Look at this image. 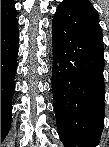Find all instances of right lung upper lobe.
Instances as JSON below:
<instances>
[{
	"instance_id": "cb5924a9",
	"label": "right lung upper lobe",
	"mask_w": 109,
	"mask_h": 147,
	"mask_svg": "<svg viewBox=\"0 0 109 147\" xmlns=\"http://www.w3.org/2000/svg\"><path fill=\"white\" fill-rule=\"evenodd\" d=\"M16 16L13 0H1V24Z\"/></svg>"
}]
</instances>
